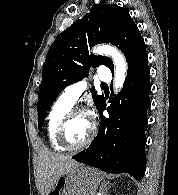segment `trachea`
I'll list each match as a JSON object with an SVG mask.
<instances>
[{
    "mask_svg": "<svg viewBox=\"0 0 178 195\" xmlns=\"http://www.w3.org/2000/svg\"><path fill=\"white\" fill-rule=\"evenodd\" d=\"M101 87H102V88H105V87H107V85H105V84H102V85H101Z\"/></svg>",
    "mask_w": 178,
    "mask_h": 195,
    "instance_id": "1",
    "label": "trachea"
}]
</instances>
